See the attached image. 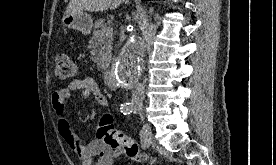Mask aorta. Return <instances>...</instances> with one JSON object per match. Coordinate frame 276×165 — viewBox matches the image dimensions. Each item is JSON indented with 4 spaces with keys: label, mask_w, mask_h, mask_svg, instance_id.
Listing matches in <instances>:
<instances>
[{
    "label": "aorta",
    "mask_w": 276,
    "mask_h": 165,
    "mask_svg": "<svg viewBox=\"0 0 276 165\" xmlns=\"http://www.w3.org/2000/svg\"><path fill=\"white\" fill-rule=\"evenodd\" d=\"M141 50L142 45L137 36L131 35L114 68V75L121 85H128L141 71L143 65Z\"/></svg>",
    "instance_id": "762f6f07"
}]
</instances>
